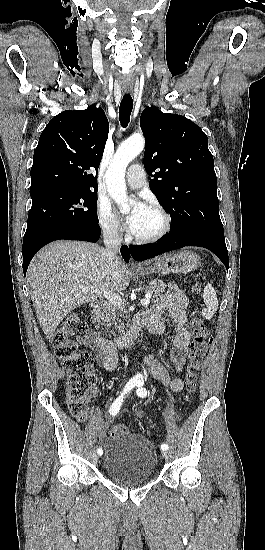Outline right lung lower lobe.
<instances>
[{
    "label": "right lung lower lobe",
    "instance_id": "1",
    "mask_svg": "<svg viewBox=\"0 0 265 550\" xmlns=\"http://www.w3.org/2000/svg\"><path fill=\"white\" fill-rule=\"evenodd\" d=\"M101 234L98 224H65L49 228L23 239V272L26 274L28 265L37 251L46 244L60 239L82 240L95 243ZM121 255L126 262H129V249L121 247Z\"/></svg>",
    "mask_w": 265,
    "mask_h": 550
}]
</instances>
